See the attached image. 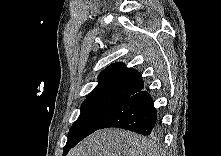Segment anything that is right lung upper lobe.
<instances>
[{"label": "right lung upper lobe", "instance_id": "cb5924a9", "mask_svg": "<svg viewBox=\"0 0 221 156\" xmlns=\"http://www.w3.org/2000/svg\"><path fill=\"white\" fill-rule=\"evenodd\" d=\"M98 85L88 98H117L127 100L143 90L139 72L117 62L108 66L99 75Z\"/></svg>", "mask_w": 221, "mask_h": 156}]
</instances>
